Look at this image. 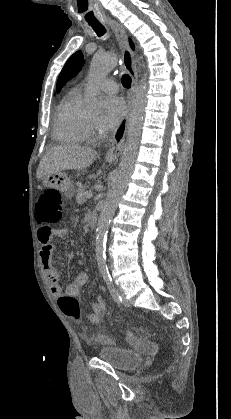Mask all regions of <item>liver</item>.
I'll use <instances>...</instances> for the list:
<instances>
[{"label": "liver", "mask_w": 231, "mask_h": 419, "mask_svg": "<svg viewBox=\"0 0 231 419\" xmlns=\"http://www.w3.org/2000/svg\"><path fill=\"white\" fill-rule=\"evenodd\" d=\"M96 151L78 145H60L51 148L40 161L37 179L64 170H83L96 158Z\"/></svg>", "instance_id": "liver-1"}]
</instances>
